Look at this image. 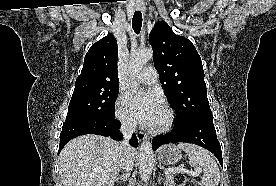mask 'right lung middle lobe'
I'll use <instances>...</instances> for the list:
<instances>
[{
	"label": "right lung middle lobe",
	"instance_id": "right-lung-middle-lobe-1",
	"mask_svg": "<svg viewBox=\"0 0 276 186\" xmlns=\"http://www.w3.org/2000/svg\"><path fill=\"white\" fill-rule=\"evenodd\" d=\"M118 92V86L75 88L69 103L66 120L80 117H112Z\"/></svg>",
	"mask_w": 276,
	"mask_h": 186
}]
</instances>
